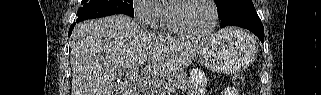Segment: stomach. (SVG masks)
I'll list each match as a JSON object with an SVG mask.
<instances>
[{"mask_svg":"<svg viewBox=\"0 0 321 95\" xmlns=\"http://www.w3.org/2000/svg\"><path fill=\"white\" fill-rule=\"evenodd\" d=\"M257 44L251 34L228 28L210 38L199 52L201 63L219 73L246 68L256 57Z\"/></svg>","mask_w":321,"mask_h":95,"instance_id":"stomach-1","label":"stomach"}]
</instances>
